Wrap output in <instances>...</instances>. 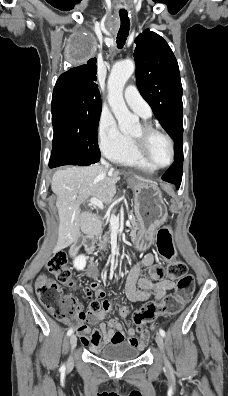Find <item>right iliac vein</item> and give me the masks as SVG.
Returning a JSON list of instances; mask_svg holds the SVG:
<instances>
[{"label": "right iliac vein", "instance_id": "63e3f726", "mask_svg": "<svg viewBox=\"0 0 228 396\" xmlns=\"http://www.w3.org/2000/svg\"><path fill=\"white\" fill-rule=\"evenodd\" d=\"M77 344V337L75 334L71 335L70 337V347H71V352H73V350L75 349ZM73 361V357L72 355L70 356L69 362L72 363Z\"/></svg>", "mask_w": 228, "mask_h": 396}]
</instances>
